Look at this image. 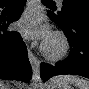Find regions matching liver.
Returning a JSON list of instances; mask_svg holds the SVG:
<instances>
[{
	"instance_id": "liver-1",
	"label": "liver",
	"mask_w": 89,
	"mask_h": 89,
	"mask_svg": "<svg viewBox=\"0 0 89 89\" xmlns=\"http://www.w3.org/2000/svg\"><path fill=\"white\" fill-rule=\"evenodd\" d=\"M1 87H4L3 85ZM2 89H7L6 87L5 88H2Z\"/></svg>"
}]
</instances>
